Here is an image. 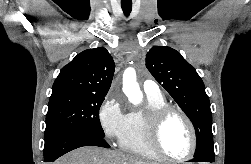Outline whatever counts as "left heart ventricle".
<instances>
[{
	"label": "left heart ventricle",
	"instance_id": "b2bd125f",
	"mask_svg": "<svg viewBox=\"0 0 251 164\" xmlns=\"http://www.w3.org/2000/svg\"><path fill=\"white\" fill-rule=\"evenodd\" d=\"M161 144L165 152L174 158L187 155L191 149V134L185 121L178 115H171L162 130Z\"/></svg>",
	"mask_w": 251,
	"mask_h": 164
}]
</instances>
